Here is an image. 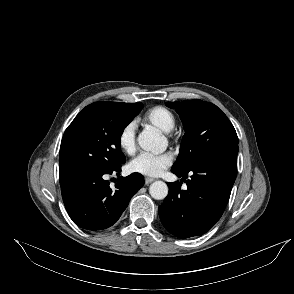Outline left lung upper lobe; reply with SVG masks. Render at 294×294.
Returning a JSON list of instances; mask_svg holds the SVG:
<instances>
[{
    "label": "left lung upper lobe",
    "mask_w": 294,
    "mask_h": 294,
    "mask_svg": "<svg viewBox=\"0 0 294 294\" xmlns=\"http://www.w3.org/2000/svg\"><path fill=\"white\" fill-rule=\"evenodd\" d=\"M179 114L185 134L171 170L188 172L206 157L229 145H238L236 131L217 106L199 99L166 102Z\"/></svg>",
    "instance_id": "1"
}]
</instances>
